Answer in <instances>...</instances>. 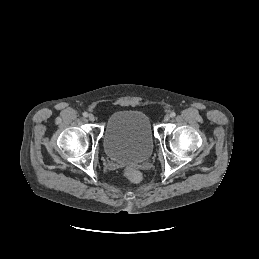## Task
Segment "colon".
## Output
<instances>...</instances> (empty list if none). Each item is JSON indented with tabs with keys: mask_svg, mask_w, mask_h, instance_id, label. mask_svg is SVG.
<instances>
[{
	"mask_svg": "<svg viewBox=\"0 0 259 259\" xmlns=\"http://www.w3.org/2000/svg\"><path fill=\"white\" fill-rule=\"evenodd\" d=\"M123 174L127 180L134 183L139 182L142 178L141 173L134 168H125Z\"/></svg>",
	"mask_w": 259,
	"mask_h": 259,
	"instance_id": "obj_1",
	"label": "colon"
}]
</instances>
